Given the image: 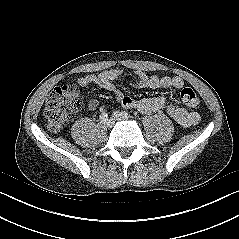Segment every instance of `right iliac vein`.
I'll return each mask as SVG.
<instances>
[{"mask_svg":"<svg viewBox=\"0 0 239 239\" xmlns=\"http://www.w3.org/2000/svg\"><path fill=\"white\" fill-rule=\"evenodd\" d=\"M114 125V121L112 119H109L106 121V127L111 128Z\"/></svg>","mask_w":239,"mask_h":239,"instance_id":"right-iliac-vein-1","label":"right iliac vein"}]
</instances>
